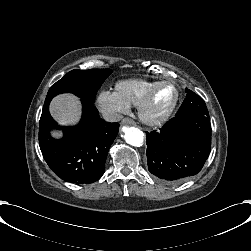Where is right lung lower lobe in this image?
<instances>
[{"label": "right lung lower lobe", "mask_w": 251, "mask_h": 251, "mask_svg": "<svg viewBox=\"0 0 251 251\" xmlns=\"http://www.w3.org/2000/svg\"><path fill=\"white\" fill-rule=\"evenodd\" d=\"M82 118L76 127H59L43 106L39 123V145L50 169L61 179L77 184L93 183L103 175L108 150L117 136L119 124L99 117L94 102L82 99ZM62 129L64 136H50Z\"/></svg>", "instance_id": "1"}]
</instances>
